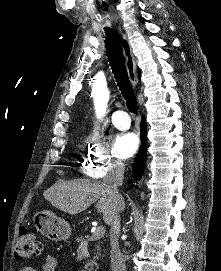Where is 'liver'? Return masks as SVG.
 Returning a JSON list of instances; mask_svg holds the SVG:
<instances>
[{
  "label": "liver",
  "instance_id": "6515ba94",
  "mask_svg": "<svg viewBox=\"0 0 221 271\" xmlns=\"http://www.w3.org/2000/svg\"><path fill=\"white\" fill-rule=\"evenodd\" d=\"M43 195L54 207L70 215L84 211L98 199L97 209L102 211L105 223H110L114 211H123L126 205L122 195L119 199L109 197L103 181L97 179H73V181L59 179L52 187L46 189Z\"/></svg>",
  "mask_w": 221,
  "mask_h": 271
}]
</instances>
